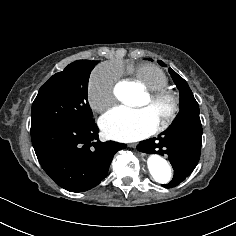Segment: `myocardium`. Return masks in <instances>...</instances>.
<instances>
[{"label":"myocardium","instance_id":"1","mask_svg":"<svg viewBox=\"0 0 236 236\" xmlns=\"http://www.w3.org/2000/svg\"><path fill=\"white\" fill-rule=\"evenodd\" d=\"M148 99L151 106L167 105L164 120L161 123L155 124L154 132L161 133L168 130L181 112V100L179 95L169 88H162L155 92H150Z\"/></svg>","mask_w":236,"mask_h":236}]
</instances>
